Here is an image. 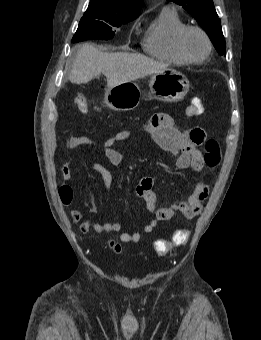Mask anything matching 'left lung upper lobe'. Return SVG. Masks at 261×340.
<instances>
[{
	"instance_id": "1",
	"label": "left lung upper lobe",
	"mask_w": 261,
	"mask_h": 340,
	"mask_svg": "<svg viewBox=\"0 0 261 340\" xmlns=\"http://www.w3.org/2000/svg\"><path fill=\"white\" fill-rule=\"evenodd\" d=\"M181 5L206 31L220 55L225 54L226 44L222 33L221 21L218 18L212 0H168Z\"/></svg>"
}]
</instances>
